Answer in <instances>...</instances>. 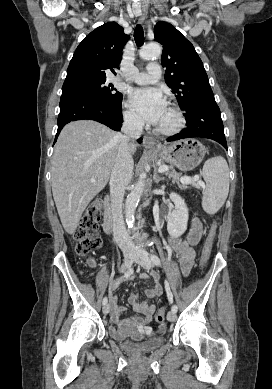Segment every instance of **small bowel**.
Returning <instances> with one entry per match:
<instances>
[{"label":"small bowel","instance_id":"c3829d8e","mask_svg":"<svg viewBox=\"0 0 272 389\" xmlns=\"http://www.w3.org/2000/svg\"><path fill=\"white\" fill-rule=\"evenodd\" d=\"M202 223L198 218H193L191 222V227L184 239L181 238H170V245L172 250L177 254L180 269L184 276H187L193 266L195 251L193 247L198 244L202 236ZM91 266H95L94 260H89ZM150 275L154 279V284L151 288L146 291L148 298L153 299L157 298L162 294L163 288L161 284L160 275L157 272H150ZM139 278L142 280H147L149 275L146 273H141ZM118 285V282H115L112 286L114 290ZM129 303L133 306V309L141 315V317H133L127 321L131 325L130 329H125L122 332L117 331L115 328H111L110 331L117 335L118 338L122 339L124 337H130L134 340H141L146 336L152 334V328L150 323L152 317L156 311V306L153 304H148L146 301H140L137 294H131L129 296ZM110 304L112 308L111 319L115 323L121 322V316L126 314L127 309L124 306L117 304L116 297L110 295Z\"/></svg>","mask_w":272,"mask_h":389}]
</instances>
